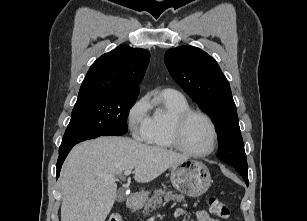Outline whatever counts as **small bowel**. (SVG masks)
<instances>
[{
  "label": "small bowel",
  "mask_w": 307,
  "mask_h": 221,
  "mask_svg": "<svg viewBox=\"0 0 307 221\" xmlns=\"http://www.w3.org/2000/svg\"><path fill=\"white\" fill-rule=\"evenodd\" d=\"M184 215H185V210L183 208H177L175 210V216L176 217H182ZM196 220L197 221H219L217 219L211 218L205 210L197 211Z\"/></svg>",
  "instance_id": "c3829d8e"
}]
</instances>
